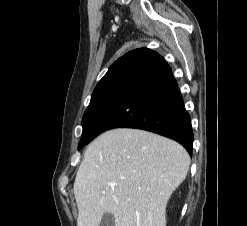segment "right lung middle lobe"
<instances>
[{"mask_svg":"<svg viewBox=\"0 0 247 226\" xmlns=\"http://www.w3.org/2000/svg\"><path fill=\"white\" fill-rule=\"evenodd\" d=\"M123 66V64H120L110 67L108 72L95 87L90 104L83 115V132L78 149L84 146L91 138L93 128L117 84Z\"/></svg>","mask_w":247,"mask_h":226,"instance_id":"1","label":"right lung middle lobe"}]
</instances>
